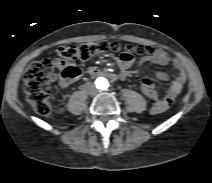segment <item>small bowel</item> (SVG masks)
<instances>
[{
  "instance_id": "c3829d8e",
  "label": "small bowel",
  "mask_w": 212,
  "mask_h": 183,
  "mask_svg": "<svg viewBox=\"0 0 212 183\" xmlns=\"http://www.w3.org/2000/svg\"><path fill=\"white\" fill-rule=\"evenodd\" d=\"M170 61L172 62L173 66L176 69V76L174 80L171 82L166 95L161 100H158L155 104H153L151 108V112L153 114L162 113L168 110L171 107V105L174 103L177 96L182 91V88L186 81V74H185V70L183 68L182 63L178 59H170L168 54L162 49H158L155 55L153 56L142 57L136 63L134 62L133 56L128 53H123L118 58V66L122 73L129 71L133 66H135L138 71H141V68L146 63H153V64L164 66V65H167ZM80 75L81 74L79 71V75L74 79H66L60 76V79H59L60 87L63 89L67 88L73 81L78 79ZM154 78L156 81L161 83L166 82L169 79L168 75L162 71L156 72L154 74ZM144 80L150 81L148 79H143L142 81ZM152 86L154 87L153 83H152Z\"/></svg>"
}]
</instances>
